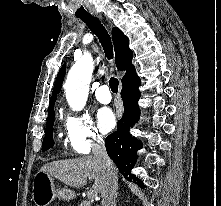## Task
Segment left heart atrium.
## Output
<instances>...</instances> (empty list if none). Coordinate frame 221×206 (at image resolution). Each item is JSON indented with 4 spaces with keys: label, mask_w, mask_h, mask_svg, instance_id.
<instances>
[{
    "label": "left heart atrium",
    "mask_w": 221,
    "mask_h": 206,
    "mask_svg": "<svg viewBox=\"0 0 221 206\" xmlns=\"http://www.w3.org/2000/svg\"><path fill=\"white\" fill-rule=\"evenodd\" d=\"M97 121L99 128L103 133L111 131L116 124L113 111L107 107L100 108L97 111Z\"/></svg>",
    "instance_id": "left-heart-atrium-1"
}]
</instances>
